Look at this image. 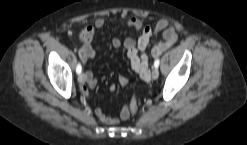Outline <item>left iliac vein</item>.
<instances>
[{
  "instance_id": "left-iliac-vein-1",
  "label": "left iliac vein",
  "mask_w": 247,
  "mask_h": 145,
  "mask_svg": "<svg viewBox=\"0 0 247 145\" xmlns=\"http://www.w3.org/2000/svg\"><path fill=\"white\" fill-rule=\"evenodd\" d=\"M159 76V70L158 68L154 67L152 70V79L156 80Z\"/></svg>"
}]
</instances>
